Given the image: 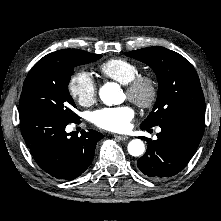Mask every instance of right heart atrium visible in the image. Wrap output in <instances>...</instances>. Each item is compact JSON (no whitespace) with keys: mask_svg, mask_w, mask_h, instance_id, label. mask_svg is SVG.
Wrapping results in <instances>:
<instances>
[{"mask_svg":"<svg viewBox=\"0 0 221 221\" xmlns=\"http://www.w3.org/2000/svg\"><path fill=\"white\" fill-rule=\"evenodd\" d=\"M68 92L82 106L93 104L97 96L96 83L90 73L80 70L68 81Z\"/></svg>","mask_w":221,"mask_h":221,"instance_id":"1","label":"right heart atrium"}]
</instances>
